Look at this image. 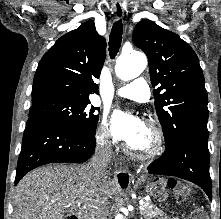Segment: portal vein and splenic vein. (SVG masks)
<instances>
[{"mask_svg": "<svg viewBox=\"0 0 221 219\" xmlns=\"http://www.w3.org/2000/svg\"><path fill=\"white\" fill-rule=\"evenodd\" d=\"M81 204H83V202H76V205H77V206H80ZM140 205H141V206H139V210L142 211V210H143V208H142L143 203L141 202Z\"/></svg>", "mask_w": 221, "mask_h": 219, "instance_id": "18ae733b", "label": "portal vein and splenic vein"}]
</instances>
